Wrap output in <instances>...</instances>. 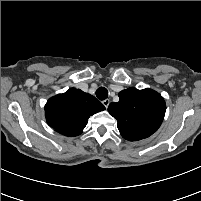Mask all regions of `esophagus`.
<instances>
[{"mask_svg": "<svg viewBox=\"0 0 201 201\" xmlns=\"http://www.w3.org/2000/svg\"><path fill=\"white\" fill-rule=\"evenodd\" d=\"M103 105L108 108L109 104H110V100L109 99H105L103 102Z\"/></svg>", "mask_w": 201, "mask_h": 201, "instance_id": "1", "label": "esophagus"}]
</instances>
